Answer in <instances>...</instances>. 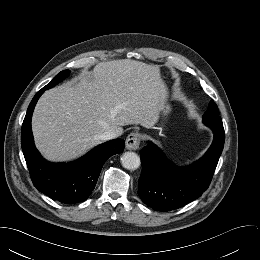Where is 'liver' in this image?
<instances>
[{"mask_svg":"<svg viewBox=\"0 0 260 260\" xmlns=\"http://www.w3.org/2000/svg\"><path fill=\"white\" fill-rule=\"evenodd\" d=\"M167 89L156 65L134 60L97 64L93 71L46 91L32 117L35 143L51 161L76 159L122 126L153 127Z\"/></svg>","mask_w":260,"mask_h":260,"instance_id":"1","label":"liver"}]
</instances>
